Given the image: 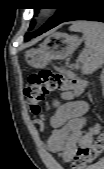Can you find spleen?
Segmentation results:
<instances>
[{
	"label": "spleen",
	"instance_id": "3e777b00",
	"mask_svg": "<svg viewBox=\"0 0 104 169\" xmlns=\"http://www.w3.org/2000/svg\"><path fill=\"white\" fill-rule=\"evenodd\" d=\"M70 30L83 33L87 55L82 73L92 74L104 63V26L97 22H76Z\"/></svg>",
	"mask_w": 104,
	"mask_h": 169
}]
</instances>
